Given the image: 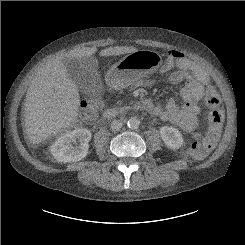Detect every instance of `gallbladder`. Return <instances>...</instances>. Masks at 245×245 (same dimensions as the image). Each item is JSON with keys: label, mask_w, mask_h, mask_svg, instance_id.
<instances>
[{"label": "gallbladder", "mask_w": 245, "mask_h": 245, "mask_svg": "<svg viewBox=\"0 0 245 245\" xmlns=\"http://www.w3.org/2000/svg\"><path fill=\"white\" fill-rule=\"evenodd\" d=\"M69 76L80 91L89 94L101 90V79L97 69L86 58L69 59L65 62Z\"/></svg>", "instance_id": "gallbladder-1"}]
</instances>
